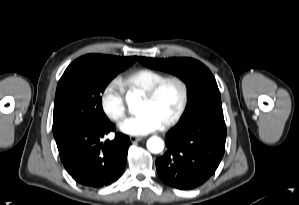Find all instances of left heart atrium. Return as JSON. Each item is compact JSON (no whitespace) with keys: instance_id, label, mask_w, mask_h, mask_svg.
<instances>
[{"instance_id":"obj_1","label":"left heart atrium","mask_w":299,"mask_h":205,"mask_svg":"<svg viewBox=\"0 0 299 205\" xmlns=\"http://www.w3.org/2000/svg\"><path fill=\"white\" fill-rule=\"evenodd\" d=\"M161 122L150 112H142L120 124L122 132L132 136H143L158 130Z\"/></svg>"}]
</instances>
